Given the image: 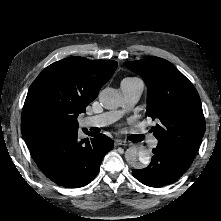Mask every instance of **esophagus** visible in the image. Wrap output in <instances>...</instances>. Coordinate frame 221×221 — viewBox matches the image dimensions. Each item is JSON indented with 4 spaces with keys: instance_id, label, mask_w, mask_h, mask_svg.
Here are the masks:
<instances>
[{
    "instance_id": "34e87169",
    "label": "esophagus",
    "mask_w": 221,
    "mask_h": 221,
    "mask_svg": "<svg viewBox=\"0 0 221 221\" xmlns=\"http://www.w3.org/2000/svg\"><path fill=\"white\" fill-rule=\"evenodd\" d=\"M115 145H116V146H129L130 143L127 142V141L118 140V141H116Z\"/></svg>"
}]
</instances>
